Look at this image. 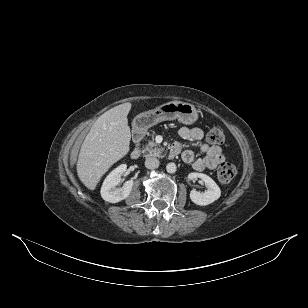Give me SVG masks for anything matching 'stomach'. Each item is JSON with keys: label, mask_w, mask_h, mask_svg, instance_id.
I'll list each match as a JSON object with an SVG mask.
<instances>
[{"label": "stomach", "mask_w": 308, "mask_h": 308, "mask_svg": "<svg viewBox=\"0 0 308 308\" xmlns=\"http://www.w3.org/2000/svg\"><path fill=\"white\" fill-rule=\"evenodd\" d=\"M175 119L183 124H193L198 119V111L190 103L171 101L138 114L134 118L133 126L136 130L145 131L159 122Z\"/></svg>", "instance_id": "0dacf381"}]
</instances>
